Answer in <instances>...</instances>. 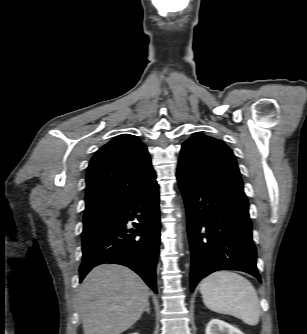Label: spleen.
<instances>
[{
    "label": "spleen",
    "mask_w": 307,
    "mask_h": 334,
    "mask_svg": "<svg viewBox=\"0 0 307 334\" xmlns=\"http://www.w3.org/2000/svg\"><path fill=\"white\" fill-rule=\"evenodd\" d=\"M203 302L210 310L232 315L254 326L259 322L260 304L253 285L231 271H217L200 284Z\"/></svg>",
    "instance_id": "1"
}]
</instances>
